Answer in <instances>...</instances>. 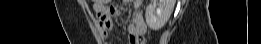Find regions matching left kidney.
<instances>
[{
    "label": "left kidney",
    "instance_id": "5707ae66",
    "mask_svg": "<svg viewBox=\"0 0 261 44\" xmlns=\"http://www.w3.org/2000/svg\"><path fill=\"white\" fill-rule=\"evenodd\" d=\"M175 0H152L145 12L146 23L151 30L161 29L168 21Z\"/></svg>",
    "mask_w": 261,
    "mask_h": 44
}]
</instances>
